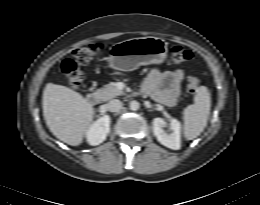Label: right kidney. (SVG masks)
I'll list each match as a JSON object with an SVG mask.
<instances>
[{"instance_id": "obj_1", "label": "right kidney", "mask_w": 260, "mask_h": 205, "mask_svg": "<svg viewBox=\"0 0 260 205\" xmlns=\"http://www.w3.org/2000/svg\"><path fill=\"white\" fill-rule=\"evenodd\" d=\"M110 122V117L104 115L91 124L87 131V141L90 145L96 146L105 141L110 132Z\"/></svg>"}]
</instances>
